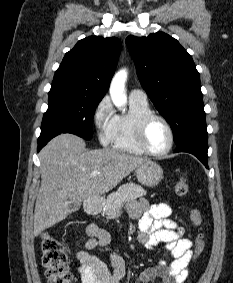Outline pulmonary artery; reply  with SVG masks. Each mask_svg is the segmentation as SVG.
<instances>
[{
  "label": "pulmonary artery",
  "mask_w": 233,
  "mask_h": 283,
  "mask_svg": "<svg viewBox=\"0 0 233 283\" xmlns=\"http://www.w3.org/2000/svg\"><path fill=\"white\" fill-rule=\"evenodd\" d=\"M129 100L138 103H147V95L139 89H132L129 93Z\"/></svg>",
  "instance_id": "pulmonary-artery-1"
}]
</instances>
